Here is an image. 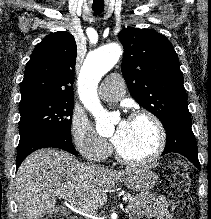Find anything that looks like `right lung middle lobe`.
I'll use <instances>...</instances> for the list:
<instances>
[{
    "label": "right lung middle lobe",
    "instance_id": "obj_1",
    "mask_svg": "<svg viewBox=\"0 0 211 219\" xmlns=\"http://www.w3.org/2000/svg\"><path fill=\"white\" fill-rule=\"evenodd\" d=\"M73 100L58 98H31L20 101V141L50 133L71 140Z\"/></svg>",
    "mask_w": 211,
    "mask_h": 219
}]
</instances>
